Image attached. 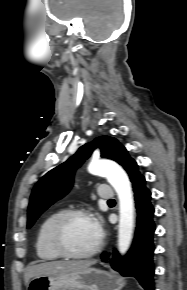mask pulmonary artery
<instances>
[{"label": "pulmonary artery", "instance_id": "pulmonary-artery-1", "mask_svg": "<svg viewBox=\"0 0 187 290\" xmlns=\"http://www.w3.org/2000/svg\"><path fill=\"white\" fill-rule=\"evenodd\" d=\"M98 196L102 200L110 201L115 198V193L107 187H100L98 190Z\"/></svg>", "mask_w": 187, "mask_h": 290}]
</instances>
